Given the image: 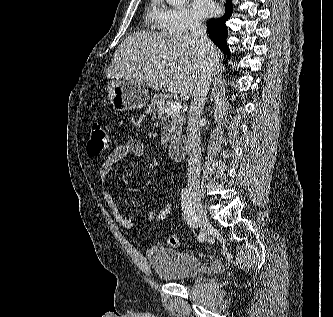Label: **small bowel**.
<instances>
[{
	"label": "small bowel",
	"instance_id": "c3829d8e",
	"mask_svg": "<svg viewBox=\"0 0 333 317\" xmlns=\"http://www.w3.org/2000/svg\"><path fill=\"white\" fill-rule=\"evenodd\" d=\"M145 153L144 143L136 138H131L125 143L113 148L103 160L99 168L100 188L102 197L111 211L115 221L124 229L132 230L139 226V223L125 217L116 203L109 188L108 178L113 167L119 162L130 157H142ZM155 213L150 212L146 216L147 221H154Z\"/></svg>",
	"mask_w": 333,
	"mask_h": 317
}]
</instances>
